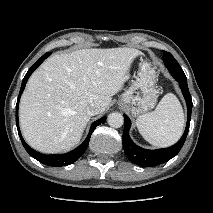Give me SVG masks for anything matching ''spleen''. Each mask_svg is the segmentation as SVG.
<instances>
[{
	"instance_id": "1",
	"label": "spleen",
	"mask_w": 213,
	"mask_h": 213,
	"mask_svg": "<svg viewBox=\"0 0 213 213\" xmlns=\"http://www.w3.org/2000/svg\"><path fill=\"white\" fill-rule=\"evenodd\" d=\"M184 122L180 102L174 94L168 93L154 111L139 116L136 125L140 134L150 144L166 147L180 138Z\"/></svg>"
}]
</instances>
